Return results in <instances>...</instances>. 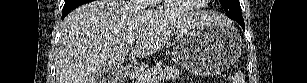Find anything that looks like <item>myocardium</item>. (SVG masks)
<instances>
[{
  "label": "myocardium",
  "mask_w": 307,
  "mask_h": 83,
  "mask_svg": "<svg viewBox=\"0 0 307 83\" xmlns=\"http://www.w3.org/2000/svg\"><path fill=\"white\" fill-rule=\"evenodd\" d=\"M201 1V0H200ZM208 1H203L207 3ZM204 7V4H197L196 6L189 9H178L174 6L173 0H165L163 2V8H168L169 11L176 15H189L201 10Z\"/></svg>",
  "instance_id": "obj_1"
}]
</instances>
